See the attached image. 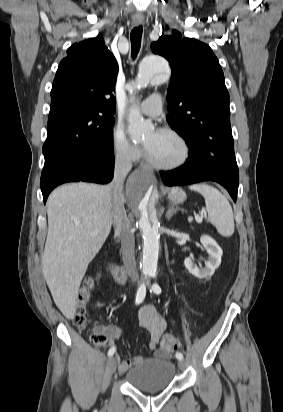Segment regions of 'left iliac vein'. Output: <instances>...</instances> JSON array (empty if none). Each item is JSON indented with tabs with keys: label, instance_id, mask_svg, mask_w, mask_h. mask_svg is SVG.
Masks as SVG:
<instances>
[{
	"label": "left iliac vein",
	"instance_id": "left-iliac-vein-1",
	"mask_svg": "<svg viewBox=\"0 0 283 412\" xmlns=\"http://www.w3.org/2000/svg\"><path fill=\"white\" fill-rule=\"evenodd\" d=\"M178 366H179L180 369L183 370L186 367V363L183 360H179Z\"/></svg>",
	"mask_w": 283,
	"mask_h": 412
}]
</instances>
